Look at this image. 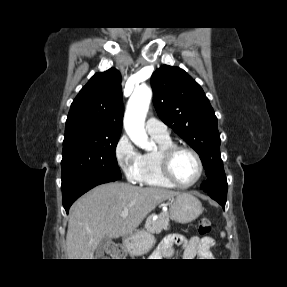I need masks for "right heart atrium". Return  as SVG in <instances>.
Here are the masks:
<instances>
[{
    "instance_id": "1",
    "label": "right heart atrium",
    "mask_w": 287,
    "mask_h": 287,
    "mask_svg": "<svg viewBox=\"0 0 287 287\" xmlns=\"http://www.w3.org/2000/svg\"><path fill=\"white\" fill-rule=\"evenodd\" d=\"M114 156L126 178L130 182L139 183L141 154L127 135L123 134L119 137L114 148Z\"/></svg>"
}]
</instances>
